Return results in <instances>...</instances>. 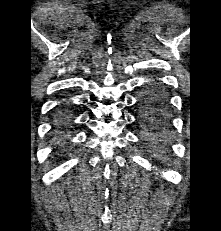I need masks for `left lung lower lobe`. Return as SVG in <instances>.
<instances>
[{"mask_svg":"<svg viewBox=\"0 0 221 231\" xmlns=\"http://www.w3.org/2000/svg\"><path fill=\"white\" fill-rule=\"evenodd\" d=\"M157 89H159L161 91V93L164 95L163 91L159 88V86L157 84H152L150 89L147 92H149L151 90H157ZM164 98L166 99L165 95H164ZM151 101L156 102V100H154V99H152ZM149 138H150L149 142H151L152 145L155 146L156 148L159 149V148H162L164 146V142L161 141L160 137L154 138L153 136H150Z\"/></svg>","mask_w":221,"mask_h":231,"instance_id":"obj_1","label":"left lung lower lobe"}]
</instances>
